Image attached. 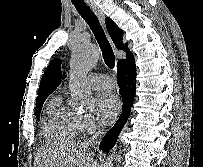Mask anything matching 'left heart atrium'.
Returning <instances> with one entry per match:
<instances>
[{
    "label": "left heart atrium",
    "mask_w": 203,
    "mask_h": 167,
    "mask_svg": "<svg viewBox=\"0 0 203 167\" xmlns=\"http://www.w3.org/2000/svg\"><path fill=\"white\" fill-rule=\"evenodd\" d=\"M121 108V102L117 95L107 92L98 96L96 100V111L99 120L109 123L114 120Z\"/></svg>",
    "instance_id": "1"
}]
</instances>
